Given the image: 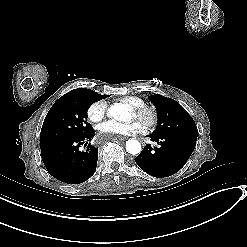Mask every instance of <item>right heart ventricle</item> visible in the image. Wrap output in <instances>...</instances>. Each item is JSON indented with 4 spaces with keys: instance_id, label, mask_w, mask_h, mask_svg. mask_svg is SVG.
<instances>
[{
    "instance_id": "1",
    "label": "right heart ventricle",
    "mask_w": 247,
    "mask_h": 247,
    "mask_svg": "<svg viewBox=\"0 0 247 247\" xmlns=\"http://www.w3.org/2000/svg\"><path fill=\"white\" fill-rule=\"evenodd\" d=\"M119 101L127 106L131 112L134 114L132 108H139L142 105H145V101L139 97L126 96L119 99ZM117 123V122H116Z\"/></svg>"
}]
</instances>
